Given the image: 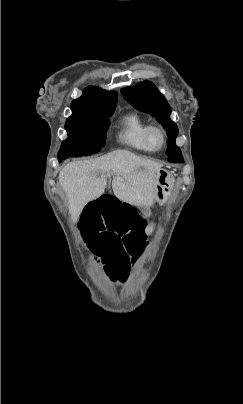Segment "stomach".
<instances>
[{
  "instance_id": "0dacf381",
  "label": "stomach",
  "mask_w": 243,
  "mask_h": 404,
  "mask_svg": "<svg viewBox=\"0 0 243 404\" xmlns=\"http://www.w3.org/2000/svg\"><path fill=\"white\" fill-rule=\"evenodd\" d=\"M172 182V177L170 174L163 169H158L155 172V189H156V200L159 203H162L165 201L166 195L169 193V187ZM147 212V211H146ZM152 229V226L148 228L150 231Z\"/></svg>"
}]
</instances>
